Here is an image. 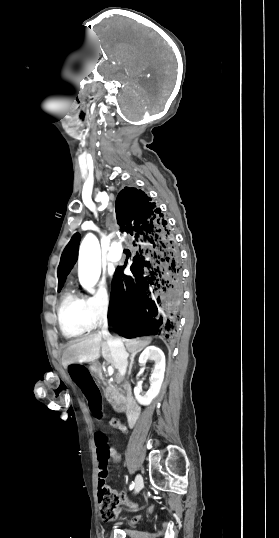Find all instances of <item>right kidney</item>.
I'll return each instance as SVG.
<instances>
[{
  "label": "right kidney",
  "mask_w": 279,
  "mask_h": 538,
  "mask_svg": "<svg viewBox=\"0 0 279 538\" xmlns=\"http://www.w3.org/2000/svg\"><path fill=\"white\" fill-rule=\"evenodd\" d=\"M148 360H154L155 362L154 370L151 374V386L145 396H140L141 388H134L135 398L139 404H142V406H148V404H151L153 398L158 396L161 384L164 380L165 356L162 350L156 348V346H148V348L142 352L139 358V364H141V366H146ZM143 370H145V368H143Z\"/></svg>",
  "instance_id": "ca27d5eb"
}]
</instances>
